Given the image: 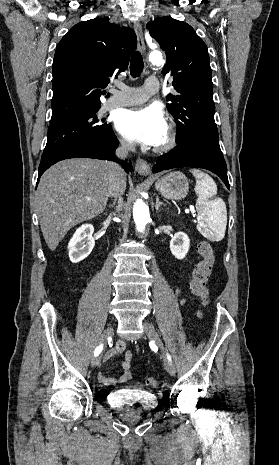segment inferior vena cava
Here are the masks:
<instances>
[{"label":"inferior vena cava","mask_w":279,"mask_h":465,"mask_svg":"<svg viewBox=\"0 0 279 465\" xmlns=\"http://www.w3.org/2000/svg\"><path fill=\"white\" fill-rule=\"evenodd\" d=\"M135 151V144L130 141L121 140L120 147L116 150L115 154L118 158H126L128 152ZM110 165V175H109V195L114 197L118 201V206L116 211L119 212L122 210L123 199H122V190L120 187V175H122L123 170L120 165L114 162H109Z\"/></svg>","instance_id":"1"}]
</instances>
